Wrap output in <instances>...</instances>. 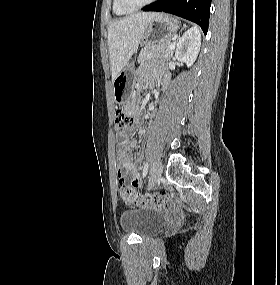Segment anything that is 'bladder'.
<instances>
[{
	"label": "bladder",
	"mask_w": 280,
	"mask_h": 285,
	"mask_svg": "<svg viewBox=\"0 0 280 285\" xmlns=\"http://www.w3.org/2000/svg\"><path fill=\"white\" fill-rule=\"evenodd\" d=\"M163 223L162 214L154 209H129L120 215V226L126 232L149 235L158 231Z\"/></svg>",
	"instance_id": "31cf9c89"
}]
</instances>
